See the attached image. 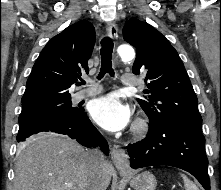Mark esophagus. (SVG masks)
<instances>
[{
	"mask_svg": "<svg viewBox=\"0 0 221 190\" xmlns=\"http://www.w3.org/2000/svg\"><path fill=\"white\" fill-rule=\"evenodd\" d=\"M108 36L112 39H117L118 37V28L115 23L109 22L106 27ZM111 158L115 167L121 171L126 172L129 170V159L125 150L118 145H113L111 148Z\"/></svg>",
	"mask_w": 221,
	"mask_h": 190,
	"instance_id": "obj_1",
	"label": "esophagus"
}]
</instances>
